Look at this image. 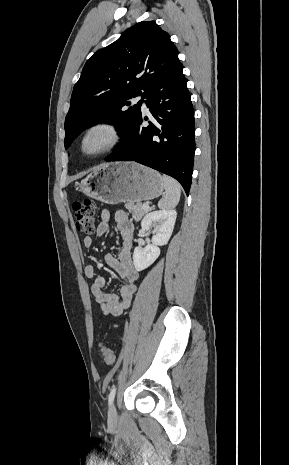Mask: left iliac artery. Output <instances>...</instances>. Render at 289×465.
I'll return each mask as SVG.
<instances>
[{
	"label": "left iliac artery",
	"instance_id": "left-iliac-artery-1",
	"mask_svg": "<svg viewBox=\"0 0 289 465\" xmlns=\"http://www.w3.org/2000/svg\"><path fill=\"white\" fill-rule=\"evenodd\" d=\"M115 394H116V387H112L111 390H110V393L108 395V403L109 405L112 404L113 400H114V397H115Z\"/></svg>",
	"mask_w": 289,
	"mask_h": 465
}]
</instances>
